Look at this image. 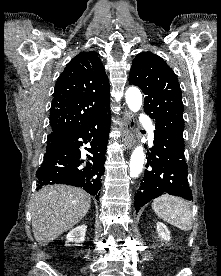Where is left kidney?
<instances>
[{"instance_id":"5707ae66","label":"left kidney","mask_w":221,"mask_h":276,"mask_svg":"<svg viewBox=\"0 0 221 276\" xmlns=\"http://www.w3.org/2000/svg\"><path fill=\"white\" fill-rule=\"evenodd\" d=\"M156 230L158 232L159 237L164 240V241H170L171 237H170V231L168 230V228L166 227V225H164L162 222H157L156 224Z\"/></svg>"}]
</instances>
